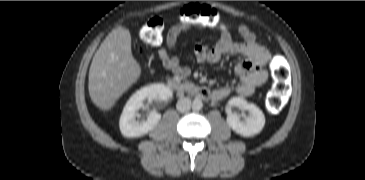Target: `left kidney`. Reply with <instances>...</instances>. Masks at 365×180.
<instances>
[{
    "label": "left kidney",
    "instance_id": "1",
    "mask_svg": "<svg viewBox=\"0 0 365 180\" xmlns=\"http://www.w3.org/2000/svg\"><path fill=\"white\" fill-rule=\"evenodd\" d=\"M231 107H239L249 112L248 116H244L240 120L238 114L233 113ZM227 123L238 134L249 137L261 132L265 125V117L263 112L254 104L248 103L244 98L233 97L229 100L226 108Z\"/></svg>",
    "mask_w": 365,
    "mask_h": 180
}]
</instances>
